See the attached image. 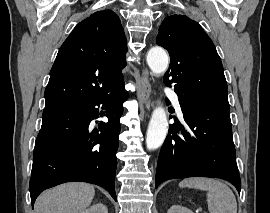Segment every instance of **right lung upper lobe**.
<instances>
[{
	"instance_id": "obj_1",
	"label": "right lung upper lobe",
	"mask_w": 270,
	"mask_h": 213,
	"mask_svg": "<svg viewBox=\"0 0 270 213\" xmlns=\"http://www.w3.org/2000/svg\"><path fill=\"white\" fill-rule=\"evenodd\" d=\"M126 51L113 11H97L81 21L58 51L44 93L46 107L91 100L123 85Z\"/></svg>"
}]
</instances>
